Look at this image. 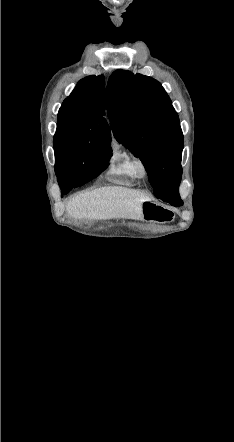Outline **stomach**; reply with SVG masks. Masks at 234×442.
Returning <instances> with one entry per match:
<instances>
[{
  "mask_svg": "<svg viewBox=\"0 0 234 442\" xmlns=\"http://www.w3.org/2000/svg\"><path fill=\"white\" fill-rule=\"evenodd\" d=\"M142 217L145 221L166 223L173 220V212L149 200L142 203Z\"/></svg>",
  "mask_w": 234,
  "mask_h": 442,
  "instance_id": "stomach-1",
  "label": "stomach"
}]
</instances>
